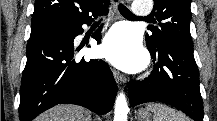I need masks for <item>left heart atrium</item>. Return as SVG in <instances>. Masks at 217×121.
<instances>
[{"instance_id": "39dd6f15", "label": "left heart atrium", "mask_w": 217, "mask_h": 121, "mask_svg": "<svg viewBox=\"0 0 217 121\" xmlns=\"http://www.w3.org/2000/svg\"><path fill=\"white\" fill-rule=\"evenodd\" d=\"M101 53L111 63L125 70L137 71L146 62L139 38L127 26H117L106 35Z\"/></svg>"}]
</instances>
